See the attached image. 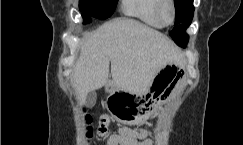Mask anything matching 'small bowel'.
Returning a JSON list of instances; mask_svg holds the SVG:
<instances>
[{"label":"small bowel","mask_w":243,"mask_h":145,"mask_svg":"<svg viewBox=\"0 0 243 145\" xmlns=\"http://www.w3.org/2000/svg\"><path fill=\"white\" fill-rule=\"evenodd\" d=\"M106 145H152L145 131H134L128 128H120L110 135Z\"/></svg>","instance_id":"obj_1"}]
</instances>
